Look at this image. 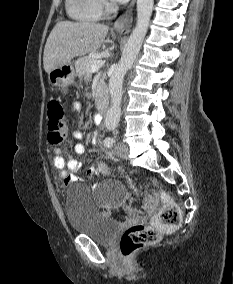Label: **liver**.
I'll return each instance as SVG.
<instances>
[{"instance_id": "liver-1", "label": "liver", "mask_w": 233, "mask_h": 284, "mask_svg": "<svg viewBox=\"0 0 233 284\" xmlns=\"http://www.w3.org/2000/svg\"><path fill=\"white\" fill-rule=\"evenodd\" d=\"M108 26L93 22L60 21L51 31L43 55L47 73L73 58L97 50L108 33Z\"/></svg>"}]
</instances>
